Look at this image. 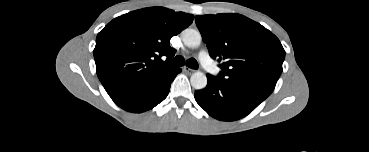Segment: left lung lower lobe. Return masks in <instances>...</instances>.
<instances>
[{
    "instance_id": "0a47b994",
    "label": "left lung lower lobe",
    "mask_w": 369,
    "mask_h": 152,
    "mask_svg": "<svg viewBox=\"0 0 369 152\" xmlns=\"http://www.w3.org/2000/svg\"><path fill=\"white\" fill-rule=\"evenodd\" d=\"M205 89L195 92L196 102L212 117L239 120L251 113L269 94L250 87L228 84L207 74Z\"/></svg>"
}]
</instances>
